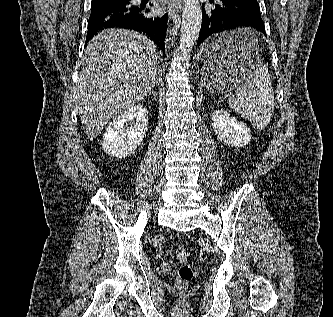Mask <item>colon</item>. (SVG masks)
<instances>
[{"instance_id":"1","label":"colon","mask_w":333,"mask_h":317,"mask_svg":"<svg viewBox=\"0 0 333 317\" xmlns=\"http://www.w3.org/2000/svg\"><path fill=\"white\" fill-rule=\"evenodd\" d=\"M176 258L179 263L178 275L175 285L179 290H186L192 279L194 278V270L189 263L188 253L183 246L176 248Z\"/></svg>"}]
</instances>
